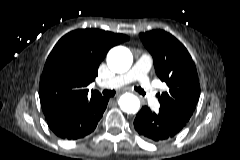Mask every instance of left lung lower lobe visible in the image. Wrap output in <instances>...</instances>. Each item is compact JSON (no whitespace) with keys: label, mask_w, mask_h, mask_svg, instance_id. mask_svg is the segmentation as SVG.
I'll list each match as a JSON object with an SVG mask.
<instances>
[{"label":"left lung lower lobe","mask_w":240,"mask_h":160,"mask_svg":"<svg viewBox=\"0 0 240 160\" xmlns=\"http://www.w3.org/2000/svg\"><path fill=\"white\" fill-rule=\"evenodd\" d=\"M186 123L163 109L155 113L149 107L143 106L136 115L134 127L144 139L163 142L173 138Z\"/></svg>","instance_id":"0a47b994"}]
</instances>
